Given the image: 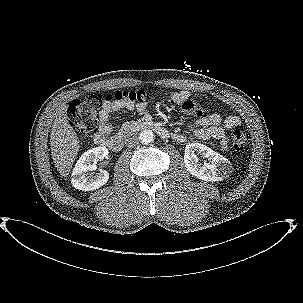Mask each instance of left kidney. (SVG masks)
Wrapping results in <instances>:
<instances>
[{
  "label": "left kidney",
  "mask_w": 303,
  "mask_h": 303,
  "mask_svg": "<svg viewBox=\"0 0 303 303\" xmlns=\"http://www.w3.org/2000/svg\"><path fill=\"white\" fill-rule=\"evenodd\" d=\"M195 152L208 159V163H198ZM184 163L187 171L204 181H221L230 173V161L201 143H189L185 147Z\"/></svg>",
  "instance_id": "left-kidney-1"
}]
</instances>
